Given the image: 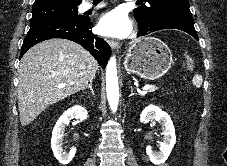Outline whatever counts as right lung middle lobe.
I'll return each mask as SVG.
<instances>
[{
    "instance_id": "dd1d6c3e",
    "label": "right lung middle lobe",
    "mask_w": 227,
    "mask_h": 166,
    "mask_svg": "<svg viewBox=\"0 0 227 166\" xmlns=\"http://www.w3.org/2000/svg\"><path fill=\"white\" fill-rule=\"evenodd\" d=\"M77 6L64 3L33 5L30 25L54 18L80 19L83 16L78 15Z\"/></svg>"
}]
</instances>
